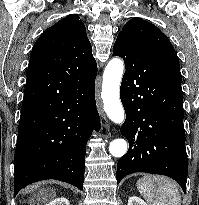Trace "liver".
<instances>
[{
  "instance_id": "obj_1",
  "label": "liver",
  "mask_w": 199,
  "mask_h": 205,
  "mask_svg": "<svg viewBox=\"0 0 199 205\" xmlns=\"http://www.w3.org/2000/svg\"><path fill=\"white\" fill-rule=\"evenodd\" d=\"M54 195H55V192L47 193L46 190H42L37 194V198H39V196H42V201L40 202V203H42V202H46V201H49V200L53 199ZM32 202L36 203V201L34 199H33ZM37 204H39V202Z\"/></svg>"
}]
</instances>
